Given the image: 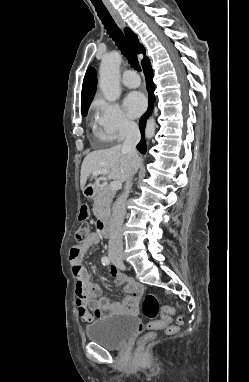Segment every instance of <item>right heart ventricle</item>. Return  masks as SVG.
I'll list each match as a JSON object with an SVG mask.
<instances>
[{
  "mask_svg": "<svg viewBox=\"0 0 249 382\" xmlns=\"http://www.w3.org/2000/svg\"><path fill=\"white\" fill-rule=\"evenodd\" d=\"M98 136L101 137V138H103V137L101 136L100 132H98ZM103 139H104V138H103Z\"/></svg>",
  "mask_w": 249,
  "mask_h": 382,
  "instance_id": "1",
  "label": "right heart ventricle"
}]
</instances>
